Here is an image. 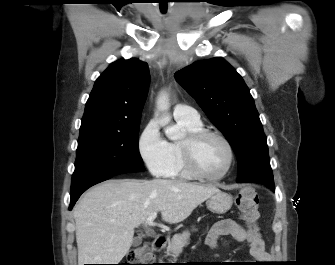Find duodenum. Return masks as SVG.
Here are the masks:
<instances>
[{"mask_svg": "<svg viewBox=\"0 0 335 265\" xmlns=\"http://www.w3.org/2000/svg\"><path fill=\"white\" fill-rule=\"evenodd\" d=\"M167 242V238L164 235H158L152 242V247L155 251H161Z\"/></svg>", "mask_w": 335, "mask_h": 265, "instance_id": "obj_1", "label": "duodenum"}]
</instances>
